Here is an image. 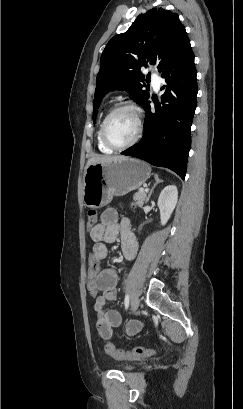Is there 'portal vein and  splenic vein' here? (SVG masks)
I'll return each instance as SVG.
<instances>
[{
  "label": "portal vein and splenic vein",
  "mask_w": 243,
  "mask_h": 409,
  "mask_svg": "<svg viewBox=\"0 0 243 409\" xmlns=\"http://www.w3.org/2000/svg\"><path fill=\"white\" fill-rule=\"evenodd\" d=\"M143 191H145V192H148L149 190L146 188V189H142Z\"/></svg>",
  "instance_id": "1"
}]
</instances>
